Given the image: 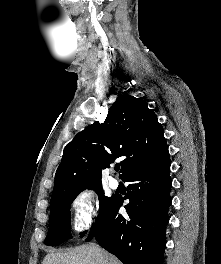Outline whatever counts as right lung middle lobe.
Returning <instances> with one entry per match:
<instances>
[{
    "instance_id": "right-lung-middle-lobe-1",
    "label": "right lung middle lobe",
    "mask_w": 221,
    "mask_h": 264,
    "mask_svg": "<svg viewBox=\"0 0 221 264\" xmlns=\"http://www.w3.org/2000/svg\"><path fill=\"white\" fill-rule=\"evenodd\" d=\"M91 189L98 194L100 202V215L92 226V228H94L98 225L103 215L110 209L116 197L104 196L101 186ZM79 193L80 192L62 196L50 205L49 231L45 239L46 245H57L71 238V235L69 234L70 208L72 202ZM86 232L87 231L80 233L81 237H83Z\"/></svg>"
}]
</instances>
